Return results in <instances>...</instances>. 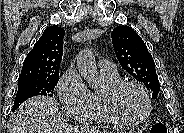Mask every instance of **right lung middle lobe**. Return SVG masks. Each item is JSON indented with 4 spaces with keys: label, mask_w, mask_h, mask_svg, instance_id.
<instances>
[{
    "label": "right lung middle lobe",
    "mask_w": 184,
    "mask_h": 133,
    "mask_svg": "<svg viewBox=\"0 0 184 133\" xmlns=\"http://www.w3.org/2000/svg\"><path fill=\"white\" fill-rule=\"evenodd\" d=\"M59 81V76L48 79H21L18 80V91L15 97L13 111H15L24 101L37 96H53L54 88Z\"/></svg>",
    "instance_id": "dd1d6c3e"
}]
</instances>
